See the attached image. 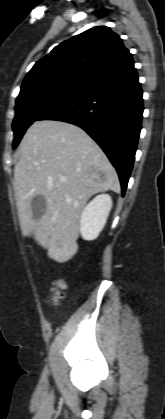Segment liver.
I'll return each mask as SVG.
<instances>
[{
    "label": "liver",
    "instance_id": "1",
    "mask_svg": "<svg viewBox=\"0 0 165 419\" xmlns=\"http://www.w3.org/2000/svg\"><path fill=\"white\" fill-rule=\"evenodd\" d=\"M18 155L14 190L22 234L33 236L51 259L66 262L78 250L79 223L88 199L99 192L119 191L116 170L84 130L55 120L34 122ZM38 195L47 206L36 220L31 200Z\"/></svg>",
    "mask_w": 165,
    "mask_h": 419
}]
</instances>
